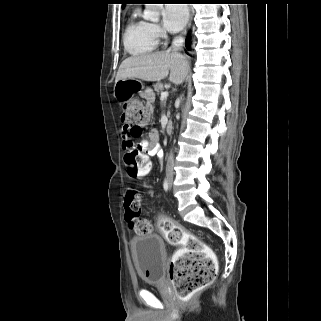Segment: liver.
<instances>
[{
	"mask_svg": "<svg viewBox=\"0 0 321 321\" xmlns=\"http://www.w3.org/2000/svg\"><path fill=\"white\" fill-rule=\"evenodd\" d=\"M188 69L186 57L175 50L142 54L125 59L119 67L115 81L136 78L154 82L169 75V81L179 85L187 76Z\"/></svg>",
	"mask_w": 321,
	"mask_h": 321,
	"instance_id": "6515ba94",
	"label": "liver"
}]
</instances>
